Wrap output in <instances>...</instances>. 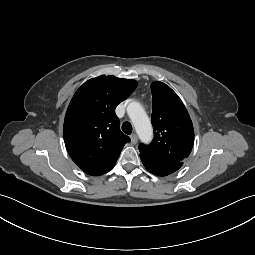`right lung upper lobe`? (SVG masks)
Returning <instances> with one entry per match:
<instances>
[{
    "label": "right lung upper lobe",
    "instance_id": "right-lung-upper-lobe-1",
    "mask_svg": "<svg viewBox=\"0 0 255 255\" xmlns=\"http://www.w3.org/2000/svg\"><path fill=\"white\" fill-rule=\"evenodd\" d=\"M136 86L132 79L102 75L86 81L73 96L64 120V142L85 173L98 176L110 171L130 142L119 128L115 108Z\"/></svg>",
    "mask_w": 255,
    "mask_h": 255
}]
</instances>
